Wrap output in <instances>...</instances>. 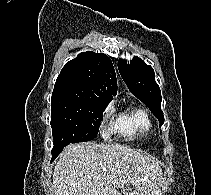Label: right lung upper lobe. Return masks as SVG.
<instances>
[{"instance_id": "cb5924a9", "label": "right lung upper lobe", "mask_w": 211, "mask_h": 195, "mask_svg": "<svg viewBox=\"0 0 211 195\" xmlns=\"http://www.w3.org/2000/svg\"><path fill=\"white\" fill-rule=\"evenodd\" d=\"M116 93V74L110 58L87 51L65 64L52 97L110 102Z\"/></svg>"}]
</instances>
